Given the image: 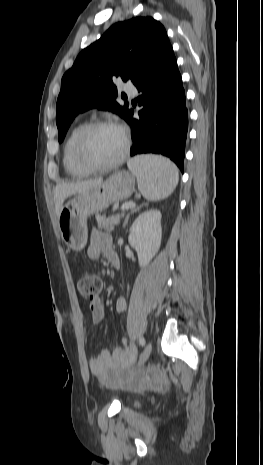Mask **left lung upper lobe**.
Masks as SVG:
<instances>
[{"mask_svg":"<svg viewBox=\"0 0 263 465\" xmlns=\"http://www.w3.org/2000/svg\"><path fill=\"white\" fill-rule=\"evenodd\" d=\"M169 43L163 25L152 17H135L112 25L103 36L82 50L63 76L57 99L56 124L62 142L79 113L97 107L124 119L128 104L120 106L112 79L134 83L161 48Z\"/></svg>","mask_w":263,"mask_h":465,"instance_id":"1","label":"left lung upper lobe"}]
</instances>
